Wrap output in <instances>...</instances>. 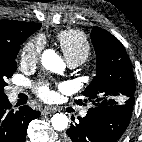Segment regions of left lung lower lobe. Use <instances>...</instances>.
<instances>
[{
	"label": "left lung lower lobe",
	"mask_w": 142,
	"mask_h": 142,
	"mask_svg": "<svg viewBox=\"0 0 142 142\" xmlns=\"http://www.w3.org/2000/svg\"><path fill=\"white\" fill-rule=\"evenodd\" d=\"M133 105L119 104L95 106L86 117H78L79 122L71 124L64 142H116L126 130Z\"/></svg>",
	"instance_id": "1"
}]
</instances>
